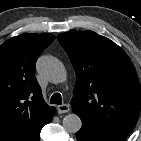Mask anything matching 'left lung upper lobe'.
I'll return each mask as SVG.
<instances>
[{
  "instance_id": "5c2ea615",
  "label": "left lung upper lobe",
  "mask_w": 141,
  "mask_h": 141,
  "mask_svg": "<svg viewBox=\"0 0 141 141\" xmlns=\"http://www.w3.org/2000/svg\"><path fill=\"white\" fill-rule=\"evenodd\" d=\"M76 72L71 106L82 123L126 138L140 114L141 91L126 53L93 31L58 35Z\"/></svg>"
}]
</instances>
